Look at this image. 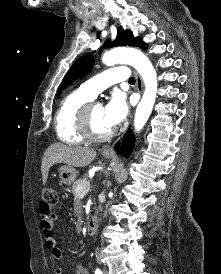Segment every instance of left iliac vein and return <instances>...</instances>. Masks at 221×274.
Returning <instances> with one entry per match:
<instances>
[{"instance_id": "1", "label": "left iliac vein", "mask_w": 221, "mask_h": 274, "mask_svg": "<svg viewBox=\"0 0 221 274\" xmlns=\"http://www.w3.org/2000/svg\"><path fill=\"white\" fill-rule=\"evenodd\" d=\"M103 274H108V271H107V270H104V271H103Z\"/></svg>"}]
</instances>
